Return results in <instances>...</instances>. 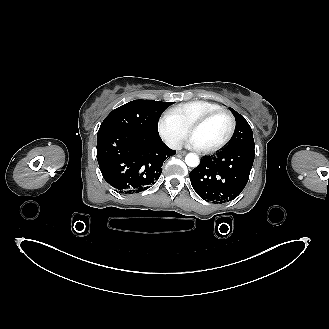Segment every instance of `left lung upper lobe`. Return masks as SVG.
Wrapping results in <instances>:
<instances>
[{"label": "left lung upper lobe", "instance_id": "obj_1", "mask_svg": "<svg viewBox=\"0 0 329 329\" xmlns=\"http://www.w3.org/2000/svg\"><path fill=\"white\" fill-rule=\"evenodd\" d=\"M229 109L236 119V127L230 143L224 148V150L236 147H255L252 129L246 119L234 109Z\"/></svg>", "mask_w": 329, "mask_h": 329}]
</instances>
